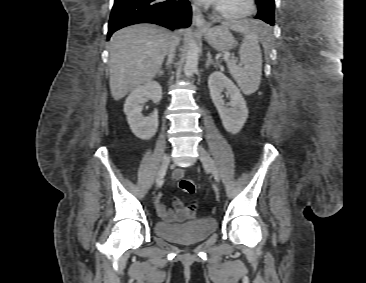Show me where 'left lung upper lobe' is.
I'll use <instances>...</instances> for the list:
<instances>
[{
	"label": "left lung upper lobe",
	"instance_id": "1",
	"mask_svg": "<svg viewBox=\"0 0 366 283\" xmlns=\"http://www.w3.org/2000/svg\"><path fill=\"white\" fill-rule=\"evenodd\" d=\"M256 4L258 5L256 18L273 26L275 22L274 0H256Z\"/></svg>",
	"mask_w": 366,
	"mask_h": 283
}]
</instances>
